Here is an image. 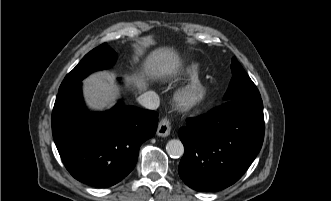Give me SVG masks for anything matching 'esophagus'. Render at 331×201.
I'll return each mask as SVG.
<instances>
[{
    "label": "esophagus",
    "instance_id": "1",
    "mask_svg": "<svg viewBox=\"0 0 331 201\" xmlns=\"http://www.w3.org/2000/svg\"><path fill=\"white\" fill-rule=\"evenodd\" d=\"M171 132V125L167 118H163L160 120L158 128H157V135L161 137H166Z\"/></svg>",
    "mask_w": 331,
    "mask_h": 201
}]
</instances>
